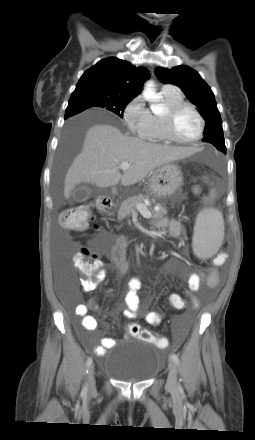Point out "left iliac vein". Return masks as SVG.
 <instances>
[{
  "label": "left iliac vein",
  "instance_id": "left-iliac-vein-1",
  "mask_svg": "<svg viewBox=\"0 0 255 440\" xmlns=\"http://www.w3.org/2000/svg\"><path fill=\"white\" fill-rule=\"evenodd\" d=\"M169 373H168V378H167V388L170 391H175L177 388V370H176V365L174 364L173 361L169 362Z\"/></svg>",
  "mask_w": 255,
  "mask_h": 440
}]
</instances>
